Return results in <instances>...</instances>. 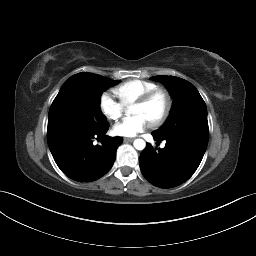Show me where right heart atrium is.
<instances>
[{
  "label": "right heart atrium",
  "instance_id": "1",
  "mask_svg": "<svg viewBox=\"0 0 256 256\" xmlns=\"http://www.w3.org/2000/svg\"><path fill=\"white\" fill-rule=\"evenodd\" d=\"M100 110L105 117L112 121L120 119L124 112V106L116 101L110 94L103 93L99 100Z\"/></svg>",
  "mask_w": 256,
  "mask_h": 256
}]
</instances>
